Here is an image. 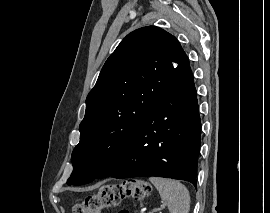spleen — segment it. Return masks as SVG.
Masks as SVG:
<instances>
[{
  "instance_id": "spleen-1",
  "label": "spleen",
  "mask_w": 270,
  "mask_h": 213,
  "mask_svg": "<svg viewBox=\"0 0 270 213\" xmlns=\"http://www.w3.org/2000/svg\"><path fill=\"white\" fill-rule=\"evenodd\" d=\"M161 199L167 203L170 213H189L190 195L187 188L177 180L150 177Z\"/></svg>"
}]
</instances>
